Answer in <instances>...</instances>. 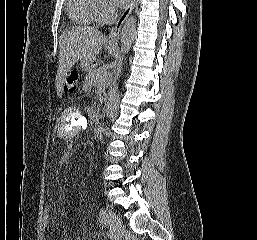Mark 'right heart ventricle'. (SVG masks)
I'll use <instances>...</instances> for the list:
<instances>
[{"label": "right heart ventricle", "instance_id": "obj_1", "mask_svg": "<svg viewBox=\"0 0 257 240\" xmlns=\"http://www.w3.org/2000/svg\"><path fill=\"white\" fill-rule=\"evenodd\" d=\"M97 0H67L70 19L78 25H91L96 22L95 9Z\"/></svg>", "mask_w": 257, "mask_h": 240}]
</instances>
